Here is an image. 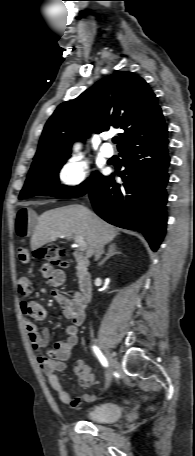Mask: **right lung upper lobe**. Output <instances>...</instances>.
<instances>
[{"label":"right lung upper lobe","mask_w":195,"mask_h":456,"mask_svg":"<svg viewBox=\"0 0 195 456\" xmlns=\"http://www.w3.org/2000/svg\"><path fill=\"white\" fill-rule=\"evenodd\" d=\"M109 128L123 131L119 151L139 137L167 134L156 96L145 80L131 72L103 78L76 99L60 104L45 125L32 166L67 158L75 140Z\"/></svg>","instance_id":"right-lung-upper-lobe-1"}]
</instances>
